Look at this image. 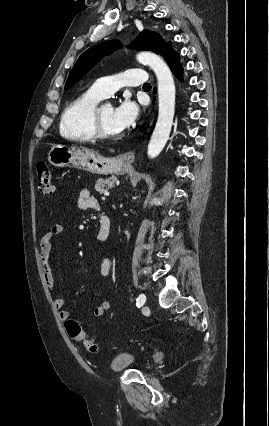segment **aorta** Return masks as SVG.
<instances>
[{
    "mask_svg": "<svg viewBox=\"0 0 269 426\" xmlns=\"http://www.w3.org/2000/svg\"><path fill=\"white\" fill-rule=\"evenodd\" d=\"M136 58L154 71L158 83L159 113L147 150L152 159L161 153L169 139L175 112V84L170 68L159 55L143 51Z\"/></svg>",
    "mask_w": 269,
    "mask_h": 426,
    "instance_id": "obj_1",
    "label": "aorta"
}]
</instances>
